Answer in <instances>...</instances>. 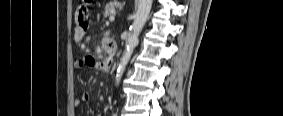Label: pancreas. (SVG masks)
Returning <instances> with one entry per match:
<instances>
[{"label": "pancreas", "mask_w": 283, "mask_h": 116, "mask_svg": "<svg viewBox=\"0 0 283 116\" xmlns=\"http://www.w3.org/2000/svg\"><path fill=\"white\" fill-rule=\"evenodd\" d=\"M120 6L121 4L119 1H112L108 3L105 7L104 17L107 18L108 16H111L114 13L115 9Z\"/></svg>", "instance_id": "1"}]
</instances>
